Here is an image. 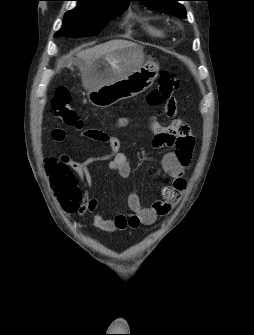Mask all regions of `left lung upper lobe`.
I'll use <instances>...</instances> for the list:
<instances>
[{
	"label": "left lung upper lobe",
	"instance_id": "obj_1",
	"mask_svg": "<svg viewBox=\"0 0 254 335\" xmlns=\"http://www.w3.org/2000/svg\"><path fill=\"white\" fill-rule=\"evenodd\" d=\"M141 1L144 6L166 14H172L179 19L187 18L186 10L183 5L179 4L180 0H137Z\"/></svg>",
	"mask_w": 254,
	"mask_h": 335
}]
</instances>
